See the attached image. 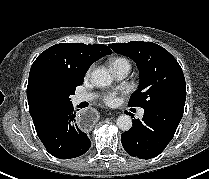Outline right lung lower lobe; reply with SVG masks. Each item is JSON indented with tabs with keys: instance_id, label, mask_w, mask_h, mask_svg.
Returning a JSON list of instances; mask_svg holds the SVG:
<instances>
[{
	"instance_id": "1",
	"label": "right lung lower lobe",
	"mask_w": 209,
	"mask_h": 179,
	"mask_svg": "<svg viewBox=\"0 0 209 179\" xmlns=\"http://www.w3.org/2000/svg\"><path fill=\"white\" fill-rule=\"evenodd\" d=\"M75 114L72 103H69L35 124L41 142L47 151L57 158L79 157L91 146L87 134L76 124Z\"/></svg>"
}]
</instances>
